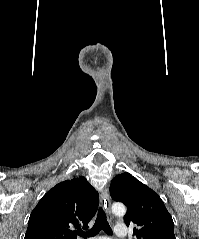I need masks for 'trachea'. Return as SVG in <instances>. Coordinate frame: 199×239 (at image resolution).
I'll return each instance as SVG.
<instances>
[{"label":"trachea","instance_id":"trachea-1","mask_svg":"<svg viewBox=\"0 0 199 239\" xmlns=\"http://www.w3.org/2000/svg\"><path fill=\"white\" fill-rule=\"evenodd\" d=\"M101 230H103L107 234H112V229L106 219V214L102 208L99 209V213L93 227L87 232H79V235L84 238L93 237L97 235Z\"/></svg>","mask_w":199,"mask_h":239}]
</instances>
